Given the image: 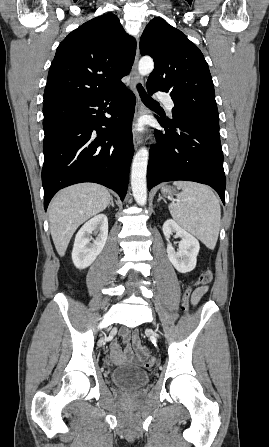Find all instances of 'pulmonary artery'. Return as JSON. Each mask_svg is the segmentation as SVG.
I'll use <instances>...</instances> for the list:
<instances>
[{"label":"pulmonary artery","mask_w":269,"mask_h":447,"mask_svg":"<svg viewBox=\"0 0 269 447\" xmlns=\"http://www.w3.org/2000/svg\"><path fill=\"white\" fill-rule=\"evenodd\" d=\"M156 96H157L158 99H162L163 100V102L165 103L169 113H171V111H172V109L174 107V103H173L172 99L169 96H167L166 91L165 90H158L157 93H156Z\"/></svg>","instance_id":"obj_1"}]
</instances>
